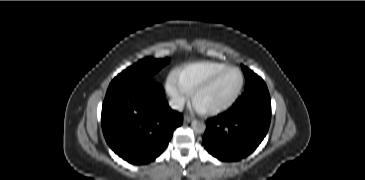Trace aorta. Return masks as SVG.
Masks as SVG:
<instances>
[{"instance_id": "1", "label": "aorta", "mask_w": 365, "mask_h": 180, "mask_svg": "<svg viewBox=\"0 0 365 180\" xmlns=\"http://www.w3.org/2000/svg\"><path fill=\"white\" fill-rule=\"evenodd\" d=\"M191 127H192L193 131L196 133H203L206 129V125L204 122L196 121V120L191 123Z\"/></svg>"}]
</instances>
